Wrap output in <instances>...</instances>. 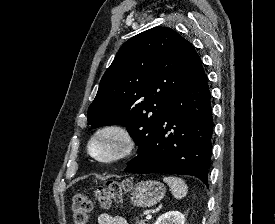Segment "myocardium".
Segmentation results:
<instances>
[{"instance_id": "obj_1", "label": "myocardium", "mask_w": 275, "mask_h": 224, "mask_svg": "<svg viewBox=\"0 0 275 224\" xmlns=\"http://www.w3.org/2000/svg\"><path fill=\"white\" fill-rule=\"evenodd\" d=\"M105 135H113L119 141L117 151L108 157H100L92 150L93 144ZM87 152L92 159L101 164H113L127 159L135 149V140L130 130L117 123H109L97 128L89 137Z\"/></svg>"}]
</instances>
